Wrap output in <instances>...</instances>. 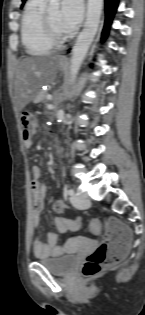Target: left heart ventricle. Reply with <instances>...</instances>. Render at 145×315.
Wrapping results in <instances>:
<instances>
[{
  "mask_svg": "<svg viewBox=\"0 0 145 315\" xmlns=\"http://www.w3.org/2000/svg\"><path fill=\"white\" fill-rule=\"evenodd\" d=\"M47 13L57 33L59 35L67 34L68 32L65 30L61 22L60 10L57 7H54V8L49 9Z\"/></svg>",
  "mask_w": 145,
  "mask_h": 315,
  "instance_id": "obj_1",
  "label": "left heart ventricle"
}]
</instances>
